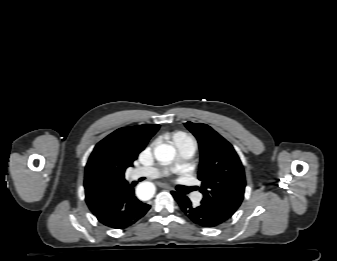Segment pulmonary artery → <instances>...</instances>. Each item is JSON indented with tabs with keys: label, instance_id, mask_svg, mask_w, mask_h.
I'll return each mask as SVG.
<instances>
[{
	"label": "pulmonary artery",
	"instance_id": "1",
	"mask_svg": "<svg viewBox=\"0 0 337 261\" xmlns=\"http://www.w3.org/2000/svg\"><path fill=\"white\" fill-rule=\"evenodd\" d=\"M179 153L183 159L191 158L196 150V145L194 142H189L178 146ZM160 175V171L156 167H140L132 172L133 178L147 177L156 178ZM195 202H199L201 199V194L197 193L193 197Z\"/></svg>",
	"mask_w": 337,
	"mask_h": 261
}]
</instances>
